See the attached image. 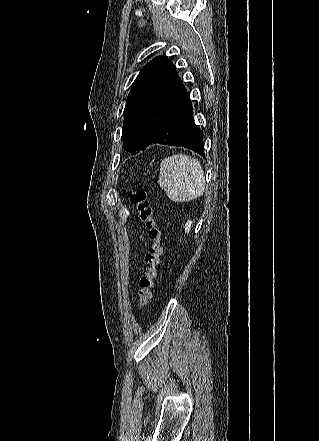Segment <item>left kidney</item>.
I'll list each match as a JSON object with an SVG mask.
<instances>
[{
  "label": "left kidney",
  "instance_id": "1",
  "mask_svg": "<svg viewBox=\"0 0 319 441\" xmlns=\"http://www.w3.org/2000/svg\"><path fill=\"white\" fill-rule=\"evenodd\" d=\"M191 227H192V221L190 220H188V222L185 224V232L186 233H189L190 232V230H191Z\"/></svg>",
  "mask_w": 319,
  "mask_h": 441
}]
</instances>
